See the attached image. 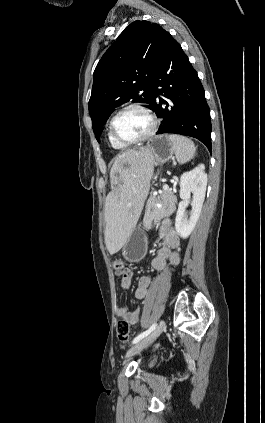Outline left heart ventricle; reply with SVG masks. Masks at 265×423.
<instances>
[{
  "label": "left heart ventricle",
  "mask_w": 265,
  "mask_h": 423,
  "mask_svg": "<svg viewBox=\"0 0 265 423\" xmlns=\"http://www.w3.org/2000/svg\"><path fill=\"white\" fill-rule=\"evenodd\" d=\"M151 122L141 111L128 110L115 121L116 134L125 140H135L148 132Z\"/></svg>",
  "instance_id": "obj_1"
}]
</instances>
